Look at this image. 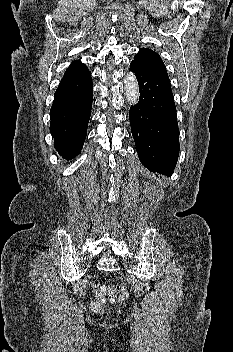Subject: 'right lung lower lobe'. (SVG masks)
I'll list each match as a JSON object with an SVG mask.
<instances>
[{
    "label": "right lung lower lobe",
    "mask_w": 233,
    "mask_h": 352,
    "mask_svg": "<svg viewBox=\"0 0 233 352\" xmlns=\"http://www.w3.org/2000/svg\"><path fill=\"white\" fill-rule=\"evenodd\" d=\"M93 84L89 70L62 79L50 110V132L63 158L76 157L83 147L91 115Z\"/></svg>",
    "instance_id": "1"
}]
</instances>
